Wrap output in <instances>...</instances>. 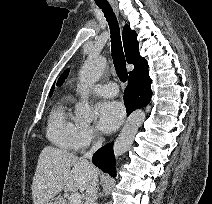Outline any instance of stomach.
<instances>
[{
    "label": "stomach",
    "mask_w": 212,
    "mask_h": 204,
    "mask_svg": "<svg viewBox=\"0 0 212 204\" xmlns=\"http://www.w3.org/2000/svg\"><path fill=\"white\" fill-rule=\"evenodd\" d=\"M47 204H62L59 199H51Z\"/></svg>",
    "instance_id": "1"
}]
</instances>
